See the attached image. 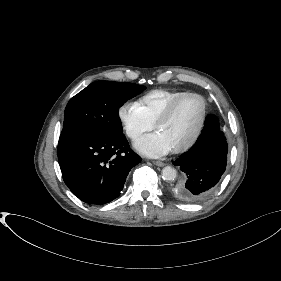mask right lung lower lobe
<instances>
[{"label":"right lung lower lobe","mask_w":281,"mask_h":281,"mask_svg":"<svg viewBox=\"0 0 281 281\" xmlns=\"http://www.w3.org/2000/svg\"><path fill=\"white\" fill-rule=\"evenodd\" d=\"M58 160L71 192L98 205L117 198L129 171L141 162L123 133L72 139L58 146Z\"/></svg>","instance_id":"obj_1"}]
</instances>
